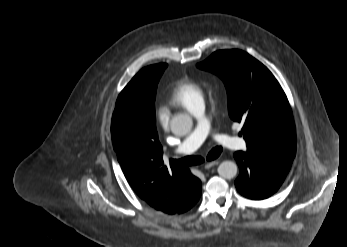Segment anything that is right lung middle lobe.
Segmentation results:
<instances>
[{
  "label": "right lung middle lobe",
  "mask_w": 347,
  "mask_h": 247,
  "mask_svg": "<svg viewBox=\"0 0 347 247\" xmlns=\"http://www.w3.org/2000/svg\"><path fill=\"white\" fill-rule=\"evenodd\" d=\"M167 67V64H156L148 66L140 70L134 78H137L141 83V92L139 97L134 101V104L140 109L146 108L148 113L152 114L151 124L153 127H156V118H155V97L158 81ZM130 102V101H129ZM125 103V100L122 102Z\"/></svg>",
  "instance_id": "1"
}]
</instances>
